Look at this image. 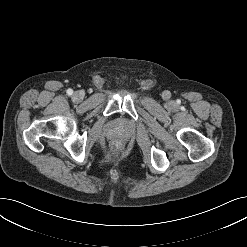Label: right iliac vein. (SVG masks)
<instances>
[{"mask_svg": "<svg viewBox=\"0 0 247 247\" xmlns=\"http://www.w3.org/2000/svg\"><path fill=\"white\" fill-rule=\"evenodd\" d=\"M72 98H73L74 101L80 102V101L83 99V93L77 91V92H75V93L73 94V97H72Z\"/></svg>", "mask_w": 247, "mask_h": 247, "instance_id": "1", "label": "right iliac vein"}]
</instances>
